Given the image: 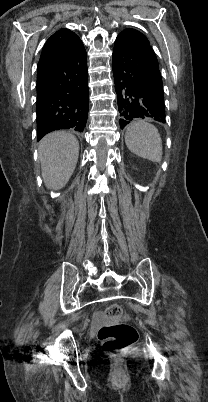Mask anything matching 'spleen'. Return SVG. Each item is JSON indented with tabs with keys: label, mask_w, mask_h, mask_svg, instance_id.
I'll return each instance as SVG.
<instances>
[{
	"label": "spleen",
	"mask_w": 208,
	"mask_h": 402,
	"mask_svg": "<svg viewBox=\"0 0 208 402\" xmlns=\"http://www.w3.org/2000/svg\"><path fill=\"white\" fill-rule=\"evenodd\" d=\"M125 144L132 154L140 158L151 162L162 160L161 136L155 126L147 124L144 120H134L129 124L125 132Z\"/></svg>",
	"instance_id": "obj_1"
}]
</instances>
